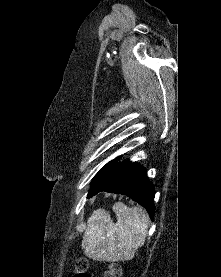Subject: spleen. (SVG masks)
Returning a JSON list of instances; mask_svg holds the SVG:
<instances>
[{"instance_id": "1", "label": "spleen", "mask_w": 221, "mask_h": 277, "mask_svg": "<svg viewBox=\"0 0 221 277\" xmlns=\"http://www.w3.org/2000/svg\"><path fill=\"white\" fill-rule=\"evenodd\" d=\"M113 211L116 223L103 210L95 211L87 221L82 249L94 260L128 261L145 243L148 229L145 211L121 203L115 204Z\"/></svg>"}]
</instances>
